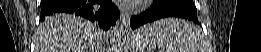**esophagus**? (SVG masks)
I'll return each mask as SVG.
<instances>
[{
    "instance_id": "34e87169",
    "label": "esophagus",
    "mask_w": 261,
    "mask_h": 52,
    "mask_svg": "<svg viewBox=\"0 0 261 52\" xmlns=\"http://www.w3.org/2000/svg\"><path fill=\"white\" fill-rule=\"evenodd\" d=\"M130 19V15L127 11L122 10L121 11V16H120V21L124 24L127 25Z\"/></svg>"
}]
</instances>
